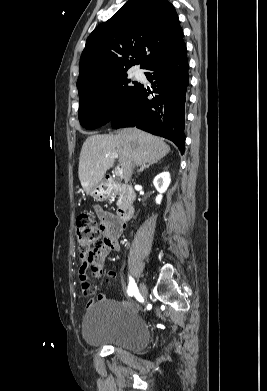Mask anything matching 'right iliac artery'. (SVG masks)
I'll return each instance as SVG.
<instances>
[{
	"label": "right iliac artery",
	"mask_w": 267,
	"mask_h": 391,
	"mask_svg": "<svg viewBox=\"0 0 267 391\" xmlns=\"http://www.w3.org/2000/svg\"><path fill=\"white\" fill-rule=\"evenodd\" d=\"M129 279H130V282H129V286H128V294L130 296H133L134 294L138 293V289L135 284V281L131 277Z\"/></svg>",
	"instance_id": "82829eb1"
}]
</instances>
